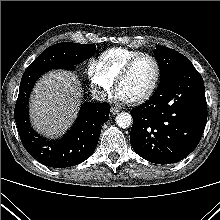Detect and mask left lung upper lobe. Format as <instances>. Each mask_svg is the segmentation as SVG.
Instances as JSON below:
<instances>
[{"label": "left lung upper lobe", "instance_id": "obj_1", "mask_svg": "<svg viewBox=\"0 0 220 220\" xmlns=\"http://www.w3.org/2000/svg\"><path fill=\"white\" fill-rule=\"evenodd\" d=\"M154 54L158 59L161 81L174 71L193 66L184 55L165 46H156Z\"/></svg>", "mask_w": 220, "mask_h": 220}]
</instances>
